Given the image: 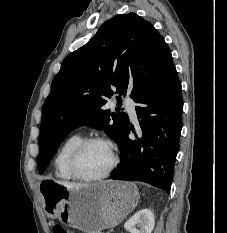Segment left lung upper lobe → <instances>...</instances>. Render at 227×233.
I'll return each mask as SVG.
<instances>
[{
	"label": "left lung upper lobe",
	"instance_id": "1",
	"mask_svg": "<svg viewBox=\"0 0 227 233\" xmlns=\"http://www.w3.org/2000/svg\"><path fill=\"white\" fill-rule=\"evenodd\" d=\"M172 66L167 44L150 22L135 13L105 22L86 45L63 60L53 79L42 108L39 172L79 126L105 129L118 144L129 119L125 113L105 110L107 99L116 90L120 95L131 92L135 101L158 85Z\"/></svg>",
	"mask_w": 227,
	"mask_h": 233
}]
</instances>
